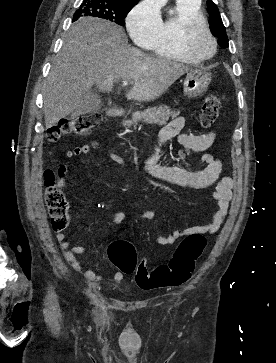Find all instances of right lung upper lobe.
I'll return each instance as SVG.
<instances>
[{
  "mask_svg": "<svg viewBox=\"0 0 276 363\" xmlns=\"http://www.w3.org/2000/svg\"><path fill=\"white\" fill-rule=\"evenodd\" d=\"M115 1H122V2H128V3H137L138 0H115Z\"/></svg>",
  "mask_w": 276,
  "mask_h": 363,
  "instance_id": "1",
  "label": "right lung upper lobe"
}]
</instances>
